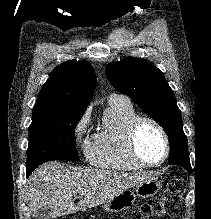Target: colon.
Here are the masks:
<instances>
[{
  "label": "colon",
  "instance_id": "obj_1",
  "mask_svg": "<svg viewBox=\"0 0 211 219\" xmlns=\"http://www.w3.org/2000/svg\"><path fill=\"white\" fill-rule=\"evenodd\" d=\"M183 193L184 185L182 179L180 177H174L168 182L160 197L154 198L144 204L130 219L175 217L179 212Z\"/></svg>",
  "mask_w": 211,
  "mask_h": 219
}]
</instances>
